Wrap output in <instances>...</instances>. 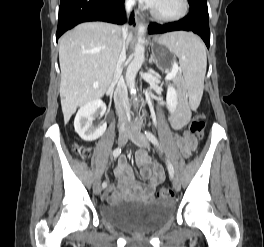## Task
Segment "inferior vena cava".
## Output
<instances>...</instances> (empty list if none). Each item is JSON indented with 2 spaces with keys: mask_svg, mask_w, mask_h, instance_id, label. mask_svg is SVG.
Returning a JSON list of instances; mask_svg holds the SVG:
<instances>
[{
  "mask_svg": "<svg viewBox=\"0 0 264 247\" xmlns=\"http://www.w3.org/2000/svg\"><path fill=\"white\" fill-rule=\"evenodd\" d=\"M133 5H134V0L125 1V8L127 13L131 12ZM122 32L124 36L128 33L127 24L122 27ZM125 51H126V44H125V39L123 38L119 44V54L113 74V83L116 85L114 91V102L119 117L120 126L127 123L130 120V105L128 102L127 87L123 78L121 77L122 64L126 58Z\"/></svg>",
  "mask_w": 264,
  "mask_h": 247,
  "instance_id": "obj_1",
  "label": "inferior vena cava"
}]
</instances>
